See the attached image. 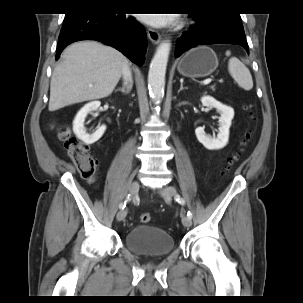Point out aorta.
Returning <instances> with one entry per match:
<instances>
[{
	"label": "aorta",
	"instance_id": "1",
	"mask_svg": "<svg viewBox=\"0 0 303 303\" xmlns=\"http://www.w3.org/2000/svg\"><path fill=\"white\" fill-rule=\"evenodd\" d=\"M171 43L165 40L158 46L150 63L148 72V89L154 101H160L164 96L165 74L170 54Z\"/></svg>",
	"mask_w": 303,
	"mask_h": 303
}]
</instances>
